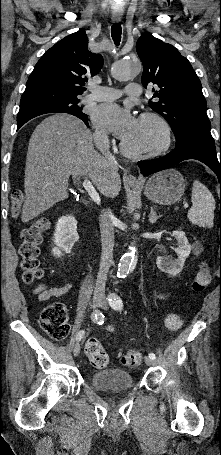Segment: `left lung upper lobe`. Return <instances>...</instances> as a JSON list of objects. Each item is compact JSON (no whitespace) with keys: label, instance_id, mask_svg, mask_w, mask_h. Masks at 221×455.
<instances>
[{"label":"left lung upper lobe","instance_id":"5c2ea615","mask_svg":"<svg viewBox=\"0 0 221 455\" xmlns=\"http://www.w3.org/2000/svg\"><path fill=\"white\" fill-rule=\"evenodd\" d=\"M143 63L142 84H154L151 108L170 124L176 143L189 134L211 135L201 82L187 58L149 34L136 44Z\"/></svg>","mask_w":221,"mask_h":455}]
</instances>
